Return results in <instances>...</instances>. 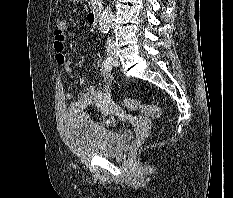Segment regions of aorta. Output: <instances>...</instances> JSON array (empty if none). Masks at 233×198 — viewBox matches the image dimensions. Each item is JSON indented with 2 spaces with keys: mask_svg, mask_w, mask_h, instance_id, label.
<instances>
[{
  "mask_svg": "<svg viewBox=\"0 0 233 198\" xmlns=\"http://www.w3.org/2000/svg\"><path fill=\"white\" fill-rule=\"evenodd\" d=\"M111 19H112L111 8L107 6L105 10L103 11V14L99 22L100 31L103 34H107L109 32Z\"/></svg>",
  "mask_w": 233,
  "mask_h": 198,
  "instance_id": "762f6f07",
  "label": "aorta"
}]
</instances>
